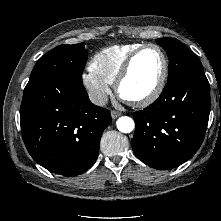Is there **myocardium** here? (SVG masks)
<instances>
[{
    "instance_id": "1",
    "label": "myocardium",
    "mask_w": 221,
    "mask_h": 221,
    "mask_svg": "<svg viewBox=\"0 0 221 221\" xmlns=\"http://www.w3.org/2000/svg\"><path fill=\"white\" fill-rule=\"evenodd\" d=\"M147 48H155L156 50H158V52L160 53L162 57V71H161V75L159 77L158 83L156 84L152 92L149 93L147 96L141 99H136V100L127 99L123 96L121 92V86L123 82L127 79V77L129 76L135 59L138 57V55L142 51H144ZM168 71H169V62H168L167 55L165 51L162 49V47H160L159 45L155 43L142 44L141 46L136 48L133 52H131V54L127 57L122 69L120 70L116 78L115 89H116L117 95L124 101L136 107H146L152 104L154 101H156L162 94L165 88L166 82H167Z\"/></svg>"
}]
</instances>
